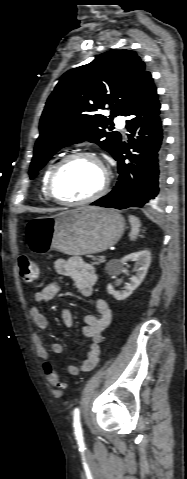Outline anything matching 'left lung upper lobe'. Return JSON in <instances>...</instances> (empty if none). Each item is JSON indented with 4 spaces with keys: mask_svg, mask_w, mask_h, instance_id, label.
I'll list each match as a JSON object with an SVG mask.
<instances>
[{
    "mask_svg": "<svg viewBox=\"0 0 187 479\" xmlns=\"http://www.w3.org/2000/svg\"><path fill=\"white\" fill-rule=\"evenodd\" d=\"M140 56L131 50H111L91 63L66 72L49 96L40 120L30 177L61 148L90 141L115 158L120 135L105 129L113 117L125 115L150 76ZM111 112L110 118L102 114Z\"/></svg>",
    "mask_w": 187,
    "mask_h": 479,
    "instance_id": "left-lung-upper-lobe-1",
    "label": "left lung upper lobe"
}]
</instances>
